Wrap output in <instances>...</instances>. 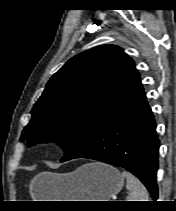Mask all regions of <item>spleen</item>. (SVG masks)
Returning a JSON list of instances; mask_svg holds the SVG:
<instances>
[{
    "label": "spleen",
    "mask_w": 176,
    "mask_h": 211,
    "mask_svg": "<svg viewBox=\"0 0 176 211\" xmlns=\"http://www.w3.org/2000/svg\"><path fill=\"white\" fill-rule=\"evenodd\" d=\"M122 175L127 179L126 188L131 192L127 201H149L148 192L140 180L128 171H123Z\"/></svg>",
    "instance_id": "1"
}]
</instances>
